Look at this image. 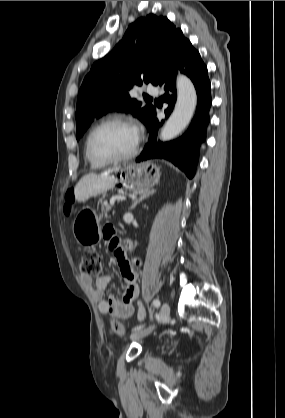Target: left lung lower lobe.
I'll return each mask as SVG.
<instances>
[{
    "label": "left lung lower lobe",
    "instance_id": "1",
    "mask_svg": "<svg viewBox=\"0 0 285 418\" xmlns=\"http://www.w3.org/2000/svg\"><path fill=\"white\" fill-rule=\"evenodd\" d=\"M180 70L193 82L197 92V109L195 116L185 134L179 139L167 143L157 142V133L160 123L156 118V111L148 126L149 142L136 159L137 162L149 159H166L177 165L189 178L195 174L199 155V146L206 137V127L209 123V109L211 106L210 81L206 65L199 52L193 48L191 42L182 38L160 77L158 85L162 86L165 94L161 97L163 102L169 104L165 110V117L171 114L176 101V73Z\"/></svg>",
    "mask_w": 285,
    "mask_h": 418
}]
</instances>
